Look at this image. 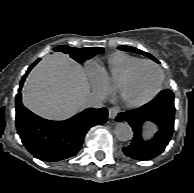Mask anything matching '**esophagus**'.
<instances>
[{"mask_svg":"<svg viewBox=\"0 0 194 193\" xmlns=\"http://www.w3.org/2000/svg\"><path fill=\"white\" fill-rule=\"evenodd\" d=\"M118 113H119V108L118 107H111L108 110V117L110 119H114L117 116Z\"/></svg>","mask_w":194,"mask_h":193,"instance_id":"34e87169","label":"esophagus"}]
</instances>
